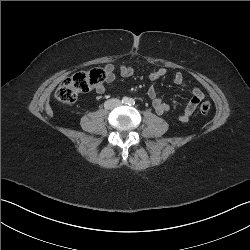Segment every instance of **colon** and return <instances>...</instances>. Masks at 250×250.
Returning a JSON list of instances; mask_svg holds the SVG:
<instances>
[{"instance_id":"colon-1","label":"colon","mask_w":250,"mask_h":250,"mask_svg":"<svg viewBox=\"0 0 250 250\" xmlns=\"http://www.w3.org/2000/svg\"><path fill=\"white\" fill-rule=\"evenodd\" d=\"M104 79L105 74L100 69L77 72L60 83L56 89L55 97L62 104H72L80 93L90 91L102 83ZM210 109L211 104L209 102H203L200 105L202 114L209 113Z\"/></svg>"}]
</instances>
